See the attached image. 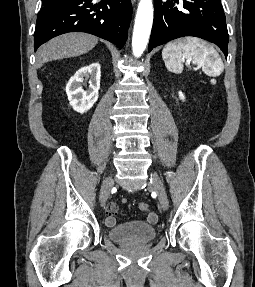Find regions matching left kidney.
<instances>
[{
  "mask_svg": "<svg viewBox=\"0 0 255 287\" xmlns=\"http://www.w3.org/2000/svg\"><path fill=\"white\" fill-rule=\"evenodd\" d=\"M178 94H179L180 100H183V102H184V100H185L184 94H182V92H178Z\"/></svg>",
  "mask_w": 255,
  "mask_h": 287,
  "instance_id": "5707ae66",
  "label": "left kidney"
}]
</instances>
